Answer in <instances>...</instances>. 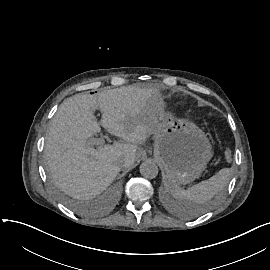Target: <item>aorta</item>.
Returning a JSON list of instances; mask_svg holds the SVG:
<instances>
[{
	"label": "aorta",
	"instance_id": "1",
	"mask_svg": "<svg viewBox=\"0 0 270 270\" xmlns=\"http://www.w3.org/2000/svg\"><path fill=\"white\" fill-rule=\"evenodd\" d=\"M158 172H159V170H158L157 165L150 160L145 161L140 166V173L146 179L156 178L158 175Z\"/></svg>",
	"mask_w": 270,
	"mask_h": 270
}]
</instances>
